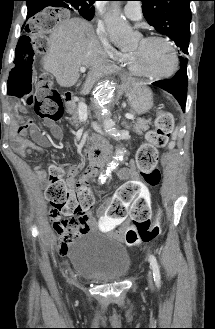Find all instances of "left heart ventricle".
Returning <instances> with one entry per match:
<instances>
[{
	"label": "left heart ventricle",
	"instance_id": "1",
	"mask_svg": "<svg viewBox=\"0 0 215 329\" xmlns=\"http://www.w3.org/2000/svg\"><path fill=\"white\" fill-rule=\"evenodd\" d=\"M131 53L140 55L139 65L150 74L160 75L174 67V55L171 47L163 41L144 43L141 39Z\"/></svg>",
	"mask_w": 215,
	"mask_h": 329
}]
</instances>
